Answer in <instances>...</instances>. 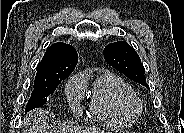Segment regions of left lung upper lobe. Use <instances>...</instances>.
Returning a JSON list of instances; mask_svg holds the SVG:
<instances>
[{"instance_id": "obj_1", "label": "left lung upper lobe", "mask_w": 184, "mask_h": 133, "mask_svg": "<svg viewBox=\"0 0 184 133\" xmlns=\"http://www.w3.org/2000/svg\"><path fill=\"white\" fill-rule=\"evenodd\" d=\"M104 58L109 65L126 75L129 79L149 88L140 57L127 42L118 41L108 44L104 48Z\"/></svg>"}]
</instances>
